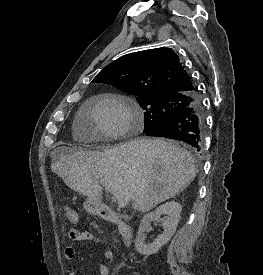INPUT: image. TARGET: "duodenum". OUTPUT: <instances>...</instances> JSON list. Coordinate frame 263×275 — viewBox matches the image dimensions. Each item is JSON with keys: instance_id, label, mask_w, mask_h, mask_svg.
<instances>
[{"instance_id": "1", "label": "duodenum", "mask_w": 263, "mask_h": 275, "mask_svg": "<svg viewBox=\"0 0 263 275\" xmlns=\"http://www.w3.org/2000/svg\"><path fill=\"white\" fill-rule=\"evenodd\" d=\"M100 215L104 220L115 223L118 226L123 243L129 246L132 237L130 226L126 222L120 220L116 214L106 206L100 208Z\"/></svg>"}]
</instances>
